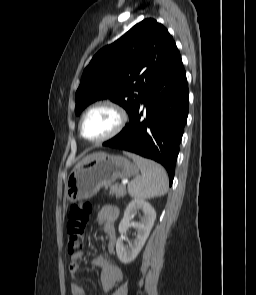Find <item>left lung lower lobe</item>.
<instances>
[{"label":"left lung lower lobe","mask_w":256,"mask_h":295,"mask_svg":"<svg viewBox=\"0 0 256 295\" xmlns=\"http://www.w3.org/2000/svg\"><path fill=\"white\" fill-rule=\"evenodd\" d=\"M141 102L146 106V119L140 120L143 112L139 105L123 130L103 145L159 162L168 171L171 185L188 116L189 91L182 60Z\"/></svg>","instance_id":"0a47b994"}]
</instances>
